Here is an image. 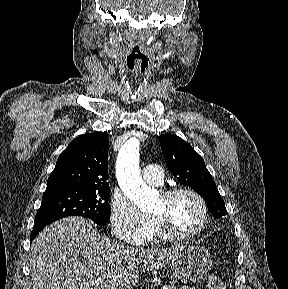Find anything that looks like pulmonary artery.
Masks as SVG:
<instances>
[{"instance_id": "1", "label": "pulmonary artery", "mask_w": 288, "mask_h": 289, "mask_svg": "<svg viewBox=\"0 0 288 289\" xmlns=\"http://www.w3.org/2000/svg\"><path fill=\"white\" fill-rule=\"evenodd\" d=\"M142 176L145 182L153 186H162L164 181V173L160 166L149 164L142 170Z\"/></svg>"}]
</instances>
